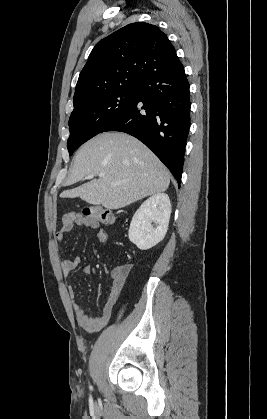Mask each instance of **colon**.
<instances>
[{"label":"colon","mask_w":267,"mask_h":419,"mask_svg":"<svg viewBox=\"0 0 267 419\" xmlns=\"http://www.w3.org/2000/svg\"><path fill=\"white\" fill-rule=\"evenodd\" d=\"M82 215L103 225H111L116 220V215L112 211L99 206H90L85 208ZM116 270L119 273H124L126 272L127 267L120 266Z\"/></svg>","instance_id":"5ec220e1"}]
</instances>
